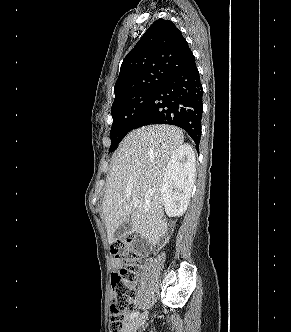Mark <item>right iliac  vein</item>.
Wrapping results in <instances>:
<instances>
[{"mask_svg": "<svg viewBox=\"0 0 291 332\" xmlns=\"http://www.w3.org/2000/svg\"><path fill=\"white\" fill-rule=\"evenodd\" d=\"M148 316L147 312H144L140 316L132 319L125 327L124 332H135L146 320Z\"/></svg>", "mask_w": 291, "mask_h": 332, "instance_id": "63e3f726", "label": "right iliac vein"}]
</instances>
